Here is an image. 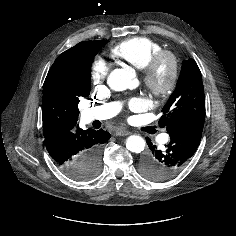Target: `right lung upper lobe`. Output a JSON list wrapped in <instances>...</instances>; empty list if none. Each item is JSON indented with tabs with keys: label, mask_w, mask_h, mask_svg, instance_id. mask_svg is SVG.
I'll return each instance as SVG.
<instances>
[{
	"label": "right lung upper lobe",
	"mask_w": 236,
	"mask_h": 236,
	"mask_svg": "<svg viewBox=\"0 0 236 236\" xmlns=\"http://www.w3.org/2000/svg\"><path fill=\"white\" fill-rule=\"evenodd\" d=\"M107 40L84 41L60 54L51 66L43 87V135L50 137L78 129L79 95L75 91L78 69L85 57Z\"/></svg>",
	"instance_id": "obj_1"
}]
</instances>
